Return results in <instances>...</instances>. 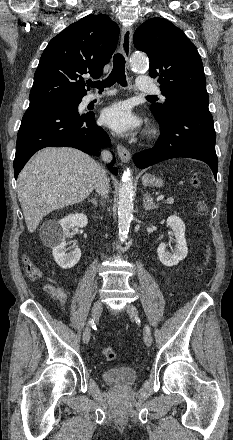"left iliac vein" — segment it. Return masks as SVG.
Returning a JSON list of instances; mask_svg holds the SVG:
<instances>
[{"label":"left iliac vein","mask_w":233,"mask_h":440,"mask_svg":"<svg viewBox=\"0 0 233 440\" xmlns=\"http://www.w3.org/2000/svg\"><path fill=\"white\" fill-rule=\"evenodd\" d=\"M125 311L131 317H138V310L133 304H127L125 307ZM144 342L147 346H150L152 344V337L150 331H148L147 329L145 330Z\"/></svg>","instance_id":"1"}]
</instances>
